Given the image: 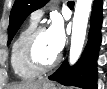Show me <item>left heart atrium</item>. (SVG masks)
I'll list each match as a JSON object with an SVG mask.
<instances>
[{
  "label": "left heart atrium",
  "mask_w": 107,
  "mask_h": 89,
  "mask_svg": "<svg viewBox=\"0 0 107 89\" xmlns=\"http://www.w3.org/2000/svg\"><path fill=\"white\" fill-rule=\"evenodd\" d=\"M48 34L54 49L59 53L65 44L64 26L60 18L54 19L52 25L48 29Z\"/></svg>",
  "instance_id": "left-heart-atrium-1"
}]
</instances>
